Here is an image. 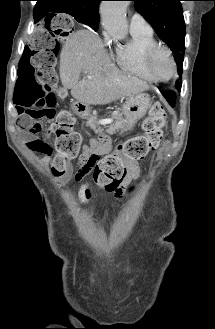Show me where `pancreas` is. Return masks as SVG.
Listing matches in <instances>:
<instances>
[{
    "mask_svg": "<svg viewBox=\"0 0 215 329\" xmlns=\"http://www.w3.org/2000/svg\"><path fill=\"white\" fill-rule=\"evenodd\" d=\"M112 120H114V123L105 127V131L107 133H113L115 130L121 128L125 130L128 128L121 114L112 115ZM86 125L96 132L104 131V128L99 125L98 118L96 116H90L87 119Z\"/></svg>",
    "mask_w": 215,
    "mask_h": 329,
    "instance_id": "cf45deb5",
    "label": "pancreas"
}]
</instances>
